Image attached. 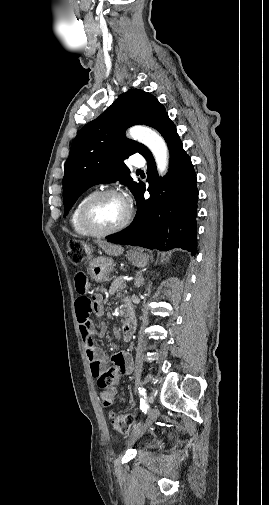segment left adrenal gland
Instances as JSON below:
<instances>
[{
    "mask_svg": "<svg viewBox=\"0 0 269 505\" xmlns=\"http://www.w3.org/2000/svg\"><path fill=\"white\" fill-rule=\"evenodd\" d=\"M144 284V278L142 277V272H138L137 278L135 280V286L139 288Z\"/></svg>",
    "mask_w": 269,
    "mask_h": 505,
    "instance_id": "1",
    "label": "left adrenal gland"
}]
</instances>
